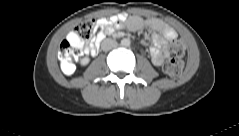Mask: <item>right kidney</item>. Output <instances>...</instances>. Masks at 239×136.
I'll use <instances>...</instances> for the list:
<instances>
[{
	"instance_id": "right-kidney-1",
	"label": "right kidney",
	"mask_w": 239,
	"mask_h": 136,
	"mask_svg": "<svg viewBox=\"0 0 239 136\" xmlns=\"http://www.w3.org/2000/svg\"><path fill=\"white\" fill-rule=\"evenodd\" d=\"M88 62H89V58H83V59H81V65H86V64H88Z\"/></svg>"
}]
</instances>
